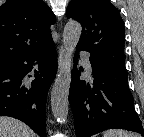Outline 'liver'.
Here are the masks:
<instances>
[{
	"instance_id": "6515ba94",
	"label": "liver",
	"mask_w": 144,
	"mask_h": 137,
	"mask_svg": "<svg viewBox=\"0 0 144 137\" xmlns=\"http://www.w3.org/2000/svg\"><path fill=\"white\" fill-rule=\"evenodd\" d=\"M35 133L23 122L0 116V137H35Z\"/></svg>"
}]
</instances>
